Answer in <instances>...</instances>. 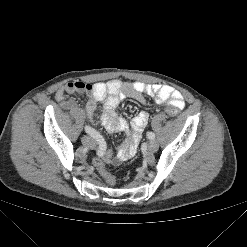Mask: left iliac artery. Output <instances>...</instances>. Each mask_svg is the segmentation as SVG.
Masks as SVG:
<instances>
[{"label": "left iliac artery", "mask_w": 247, "mask_h": 247, "mask_svg": "<svg viewBox=\"0 0 247 247\" xmlns=\"http://www.w3.org/2000/svg\"><path fill=\"white\" fill-rule=\"evenodd\" d=\"M147 137L151 140L155 139V134L153 132H148Z\"/></svg>", "instance_id": "left-iliac-artery-1"}]
</instances>
